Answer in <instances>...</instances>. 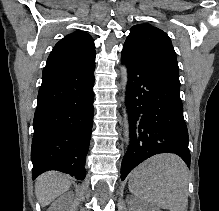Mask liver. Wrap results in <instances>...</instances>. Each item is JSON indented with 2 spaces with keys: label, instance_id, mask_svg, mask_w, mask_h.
I'll return each mask as SVG.
<instances>
[{
  "label": "liver",
  "instance_id": "liver-1",
  "mask_svg": "<svg viewBox=\"0 0 219 211\" xmlns=\"http://www.w3.org/2000/svg\"><path fill=\"white\" fill-rule=\"evenodd\" d=\"M72 177L61 171H45L35 181V195L42 207L49 205L58 195L68 191Z\"/></svg>",
  "mask_w": 219,
  "mask_h": 211
}]
</instances>
